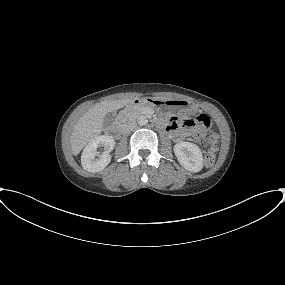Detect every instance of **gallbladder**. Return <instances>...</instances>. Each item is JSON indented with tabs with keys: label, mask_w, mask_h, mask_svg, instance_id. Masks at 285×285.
Wrapping results in <instances>:
<instances>
[{
	"label": "gallbladder",
	"mask_w": 285,
	"mask_h": 285,
	"mask_svg": "<svg viewBox=\"0 0 285 285\" xmlns=\"http://www.w3.org/2000/svg\"><path fill=\"white\" fill-rule=\"evenodd\" d=\"M115 119H116V113L113 111L108 112L103 118V123L105 126H109V125L113 124Z\"/></svg>",
	"instance_id": "1"
}]
</instances>
